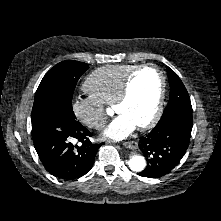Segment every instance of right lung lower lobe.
I'll use <instances>...</instances> for the list:
<instances>
[{
  "instance_id": "1",
  "label": "right lung lower lobe",
  "mask_w": 221,
  "mask_h": 221,
  "mask_svg": "<svg viewBox=\"0 0 221 221\" xmlns=\"http://www.w3.org/2000/svg\"><path fill=\"white\" fill-rule=\"evenodd\" d=\"M92 134L75 115L51 111L32 122V137L38 156L46 170L55 177L73 180L93 166L103 143L92 144ZM76 139L82 145H73Z\"/></svg>"
}]
</instances>
